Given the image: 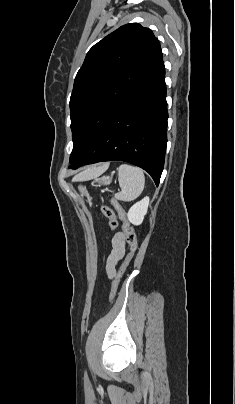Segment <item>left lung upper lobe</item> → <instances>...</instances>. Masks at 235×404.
<instances>
[{
    "mask_svg": "<svg viewBox=\"0 0 235 404\" xmlns=\"http://www.w3.org/2000/svg\"><path fill=\"white\" fill-rule=\"evenodd\" d=\"M163 60L158 39L138 23L121 26L87 53L70 97V163L90 146L111 114Z\"/></svg>",
    "mask_w": 235,
    "mask_h": 404,
    "instance_id": "obj_1",
    "label": "left lung upper lobe"
}]
</instances>
